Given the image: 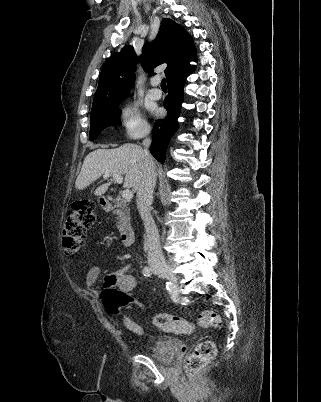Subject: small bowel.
<instances>
[{"mask_svg":"<svg viewBox=\"0 0 321 402\" xmlns=\"http://www.w3.org/2000/svg\"><path fill=\"white\" fill-rule=\"evenodd\" d=\"M128 269L129 267H124L112 272L105 279L104 282L105 286L110 287L113 285H118L124 291L133 290L136 287L137 282L134 276L128 273ZM98 274H99L98 268H94L91 271H89L86 277L87 283L88 284L94 283L97 280ZM131 311H132V305H129L125 310V313L121 321V325L125 330L135 335L141 336L144 334L145 331L141 325H139L132 319Z\"/></svg>","mask_w":321,"mask_h":402,"instance_id":"small-bowel-1","label":"small bowel"}]
</instances>
